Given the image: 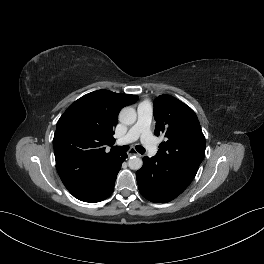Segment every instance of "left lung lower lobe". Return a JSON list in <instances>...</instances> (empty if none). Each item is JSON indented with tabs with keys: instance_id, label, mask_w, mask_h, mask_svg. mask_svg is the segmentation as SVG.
<instances>
[{
	"instance_id": "obj_1",
	"label": "left lung lower lobe",
	"mask_w": 264,
	"mask_h": 264,
	"mask_svg": "<svg viewBox=\"0 0 264 264\" xmlns=\"http://www.w3.org/2000/svg\"><path fill=\"white\" fill-rule=\"evenodd\" d=\"M196 173L182 170L178 164L168 165L155 155L143 158V167L137 171L136 178L142 196L154 203H166L181 194Z\"/></svg>"
}]
</instances>
